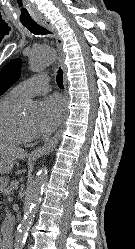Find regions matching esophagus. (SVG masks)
Returning a JSON list of instances; mask_svg holds the SVG:
<instances>
[{
  "instance_id": "1",
  "label": "esophagus",
  "mask_w": 135,
  "mask_h": 249,
  "mask_svg": "<svg viewBox=\"0 0 135 249\" xmlns=\"http://www.w3.org/2000/svg\"><path fill=\"white\" fill-rule=\"evenodd\" d=\"M38 23L40 25H42L43 27H45L46 29H48L55 37L56 40V45H57V49L59 52V58H58V63L61 66L62 70H63V76H64V87L66 89V85H67V79H66V67L64 64V59H65V54L63 52V41L61 39V37L58 35V32L56 30V28L51 24V22L49 20L46 19H42L39 20ZM68 113V106H67V102L65 105V112H64V118H63V122L59 128V130L57 131V133L48 141L46 142L42 147L39 148H35L31 153H30V157L33 159H37L40 158L43 155H47L50 152L53 151V149L56 147L59 137L61 135V132L63 130V126H64V119L66 118Z\"/></svg>"
}]
</instances>
